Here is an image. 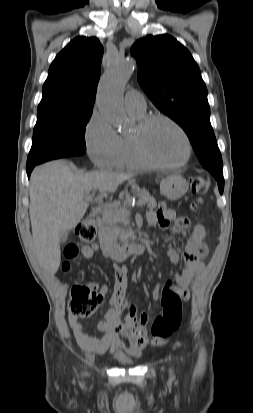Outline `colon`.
<instances>
[{
    "label": "colon",
    "mask_w": 253,
    "mask_h": 413,
    "mask_svg": "<svg viewBox=\"0 0 253 413\" xmlns=\"http://www.w3.org/2000/svg\"><path fill=\"white\" fill-rule=\"evenodd\" d=\"M208 181L203 177L191 179V190L194 194H204L208 190ZM196 204L193 205L195 209ZM76 233L79 238V245L86 246L96 238L97 227L95 222L88 218L80 223ZM79 247L77 244H69L65 250L66 258L77 256ZM63 269L68 270L69 264L65 262ZM105 293L94 284H77L71 288L68 302L69 314L78 318H86L94 313L101 304ZM162 312L158 315L151 327V334L154 340L163 341L175 333L182 322L183 310L180 294L169 281L164 286L161 293Z\"/></svg>",
    "instance_id": "colon-1"
}]
</instances>
